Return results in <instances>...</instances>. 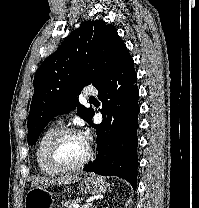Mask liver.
Returning a JSON list of instances; mask_svg holds the SVG:
<instances>
[{
  "mask_svg": "<svg viewBox=\"0 0 199 208\" xmlns=\"http://www.w3.org/2000/svg\"><path fill=\"white\" fill-rule=\"evenodd\" d=\"M80 177L78 175H68L58 178H38L32 182L31 188L41 185H68L78 182Z\"/></svg>",
  "mask_w": 199,
  "mask_h": 208,
  "instance_id": "obj_1",
  "label": "liver"
}]
</instances>
